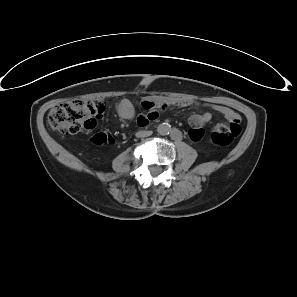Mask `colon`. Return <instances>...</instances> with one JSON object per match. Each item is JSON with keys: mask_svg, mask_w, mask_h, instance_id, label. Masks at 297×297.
Here are the masks:
<instances>
[{"mask_svg": "<svg viewBox=\"0 0 297 297\" xmlns=\"http://www.w3.org/2000/svg\"><path fill=\"white\" fill-rule=\"evenodd\" d=\"M101 100H73L54 107L48 114L47 123L50 129L65 134H76L82 130L94 129L105 111ZM241 132L239 116L217 123L211 133L212 141L220 146L229 145ZM98 145L112 143L108 133L100 132L92 137Z\"/></svg>", "mask_w": 297, "mask_h": 297, "instance_id": "obj_1", "label": "colon"}]
</instances>
